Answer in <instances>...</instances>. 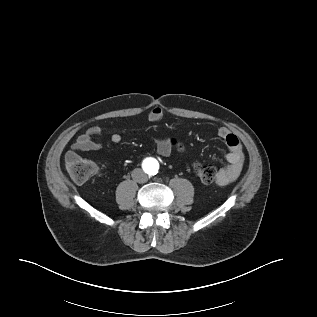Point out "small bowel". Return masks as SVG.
Instances as JSON below:
<instances>
[{
  "instance_id": "1",
  "label": "small bowel",
  "mask_w": 317,
  "mask_h": 317,
  "mask_svg": "<svg viewBox=\"0 0 317 317\" xmlns=\"http://www.w3.org/2000/svg\"><path fill=\"white\" fill-rule=\"evenodd\" d=\"M164 118L163 111L160 107H154L148 114V119L151 122H161ZM101 135L99 126L89 127L85 133L80 135L73 144L72 149L67 153L66 160L69 162L74 159H79V152L97 151L102 148L101 143L96 141V138ZM218 137L224 141L228 148L226 159L228 165L219 170L217 175L218 185H227L235 181L242 171L245 156L241 142L238 137L230 132L226 127L221 126L217 130ZM113 143H119L122 139L121 135L114 133L110 136ZM181 143L161 138L156 142L157 153L163 157L169 156L173 150H182Z\"/></svg>"
}]
</instances>
